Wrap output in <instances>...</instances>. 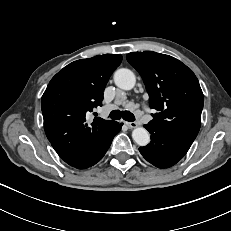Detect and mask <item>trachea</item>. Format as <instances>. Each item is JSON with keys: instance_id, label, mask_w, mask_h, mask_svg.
Instances as JSON below:
<instances>
[{"instance_id": "1", "label": "trachea", "mask_w": 231, "mask_h": 231, "mask_svg": "<svg viewBox=\"0 0 231 231\" xmlns=\"http://www.w3.org/2000/svg\"><path fill=\"white\" fill-rule=\"evenodd\" d=\"M109 117L113 120H119L123 118L124 120L129 122L135 121V116L130 111L113 110L109 114Z\"/></svg>"}]
</instances>
